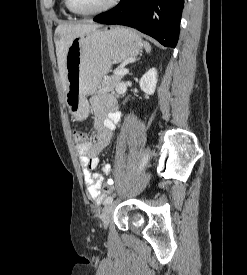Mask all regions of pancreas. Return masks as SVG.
I'll use <instances>...</instances> for the list:
<instances>
[{
    "label": "pancreas",
    "instance_id": "pancreas-1",
    "mask_svg": "<svg viewBox=\"0 0 247 275\" xmlns=\"http://www.w3.org/2000/svg\"><path fill=\"white\" fill-rule=\"evenodd\" d=\"M122 76L116 75L103 79L99 86L98 93L113 92L117 84L121 81Z\"/></svg>",
    "mask_w": 247,
    "mask_h": 275
}]
</instances>
